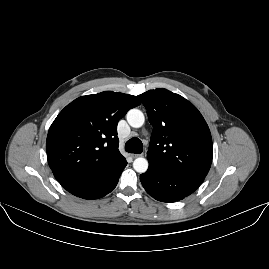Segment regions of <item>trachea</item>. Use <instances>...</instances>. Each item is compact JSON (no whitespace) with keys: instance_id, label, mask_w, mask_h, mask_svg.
<instances>
[{"instance_id":"obj_1","label":"trachea","mask_w":269,"mask_h":269,"mask_svg":"<svg viewBox=\"0 0 269 269\" xmlns=\"http://www.w3.org/2000/svg\"><path fill=\"white\" fill-rule=\"evenodd\" d=\"M125 150L129 153L140 154L143 151V144L139 138L134 137L126 142Z\"/></svg>"}]
</instances>
